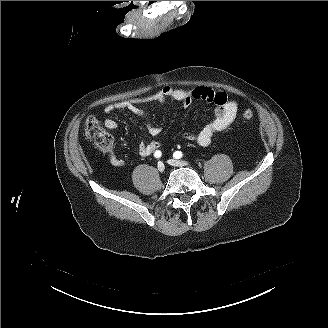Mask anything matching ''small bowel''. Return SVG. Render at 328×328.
Segmentation results:
<instances>
[{
	"mask_svg": "<svg viewBox=\"0 0 328 328\" xmlns=\"http://www.w3.org/2000/svg\"><path fill=\"white\" fill-rule=\"evenodd\" d=\"M167 99L180 102L185 107H188L194 100H201L215 105L213 119L208 124L198 133L185 132L183 134L184 139L195 141L202 147L210 145L214 134L226 130L233 123L238 112L237 102L229 99L225 92L214 91L205 87L184 90L169 86L148 97L133 98L109 104L104 108V111L105 113H112L117 110H127L142 116L146 120L148 133L151 136H158L162 133V128L149 120L148 114L142 105L151 101L164 102ZM104 126L112 130L117 128V122L112 118H107L104 120ZM159 148L160 142L157 140L141 142L138 146V153L142 157H147L155 153ZM106 152L113 166L121 167L125 165V160L119 158L111 148Z\"/></svg>",
	"mask_w": 328,
	"mask_h": 328,
	"instance_id": "small-bowel-1",
	"label": "small bowel"
}]
</instances>
